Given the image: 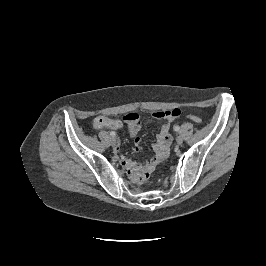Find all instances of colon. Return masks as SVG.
Listing matches in <instances>:
<instances>
[{"instance_id": "1", "label": "colon", "mask_w": 266, "mask_h": 266, "mask_svg": "<svg viewBox=\"0 0 266 266\" xmlns=\"http://www.w3.org/2000/svg\"><path fill=\"white\" fill-rule=\"evenodd\" d=\"M188 118L195 123H201L202 122V119L197 115H189Z\"/></svg>"}]
</instances>
